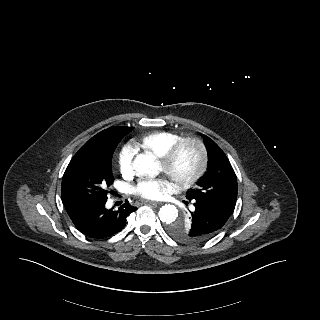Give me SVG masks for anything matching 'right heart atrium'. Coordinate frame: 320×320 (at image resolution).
<instances>
[{
    "mask_svg": "<svg viewBox=\"0 0 320 320\" xmlns=\"http://www.w3.org/2000/svg\"><path fill=\"white\" fill-rule=\"evenodd\" d=\"M135 148L132 144H125L118 156L119 169L123 174H130L133 170Z\"/></svg>",
    "mask_w": 320,
    "mask_h": 320,
    "instance_id": "obj_1",
    "label": "right heart atrium"
}]
</instances>
